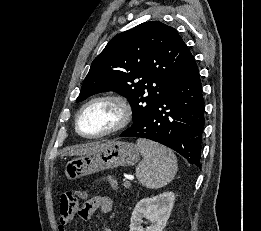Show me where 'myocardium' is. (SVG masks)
I'll return each mask as SVG.
<instances>
[{
    "label": "myocardium",
    "mask_w": 261,
    "mask_h": 231,
    "mask_svg": "<svg viewBox=\"0 0 261 231\" xmlns=\"http://www.w3.org/2000/svg\"><path fill=\"white\" fill-rule=\"evenodd\" d=\"M100 101H110L114 104H116L121 112V118L120 121L118 122L117 125L114 127L110 128L109 130H106L104 132L98 133V134H93V135H88L84 134L79 125L80 117L84 110L89 107L90 105L100 102ZM133 119V107L131 103L128 101L127 98L118 95V94H105V95H100L97 97H94L90 100H88L86 103H84L81 108L78 110L76 117H75V131L83 138H88V139H96V138H102L117 132H120L127 128L129 124L131 123Z\"/></svg>",
    "instance_id": "f54148a6"
}]
</instances>
